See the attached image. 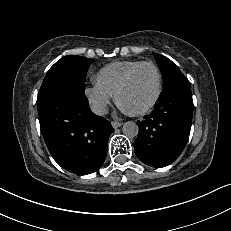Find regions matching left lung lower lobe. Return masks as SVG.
I'll return each mask as SVG.
<instances>
[{
	"mask_svg": "<svg viewBox=\"0 0 231 231\" xmlns=\"http://www.w3.org/2000/svg\"><path fill=\"white\" fill-rule=\"evenodd\" d=\"M191 86L185 76L164 85L154 110L138 121L139 134L134 142L137 157L146 165L165 167L183 151L192 123Z\"/></svg>",
	"mask_w": 231,
	"mask_h": 231,
	"instance_id": "obj_1",
	"label": "left lung lower lobe"
}]
</instances>
